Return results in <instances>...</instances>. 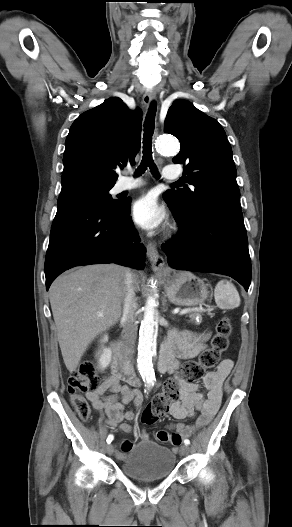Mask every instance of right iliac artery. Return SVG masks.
Returning <instances> with one entry per match:
<instances>
[{
  "instance_id": "obj_1",
  "label": "right iliac artery",
  "mask_w": 292,
  "mask_h": 527,
  "mask_svg": "<svg viewBox=\"0 0 292 527\" xmlns=\"http://www.w3.org/2000/svg\"><path fill=\"white\" fill-rule=\"evenodd\" d=\"M114 439V436L112 434H109L107 437V443H111Z\"/></svg>"
}]
</instances>
